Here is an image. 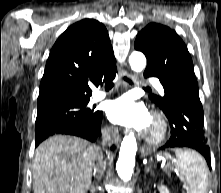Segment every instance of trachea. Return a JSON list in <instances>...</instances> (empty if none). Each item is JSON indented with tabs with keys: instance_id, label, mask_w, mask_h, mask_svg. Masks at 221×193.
Here are the masks:
<instances>
[{
	"instance_id": "obj_1",
	"label": "trachea",
	"mask_w": 221,
	"mask_h": 193,
	"mask_svg": "<svg viewBox=\"0 0 221 193\" xmlns=\"http://www.w3.org/2000/svg\"><path fill=\"white\" fill-rule=\"evenodd\" d=\"M124 79H125L126 81H128L129 83H132V81H131L129 78L124 77ZM105 87H106V88H112V87H113V83H112V82H107V83L105 84Z\"/></svg>"
}]
</instances>
